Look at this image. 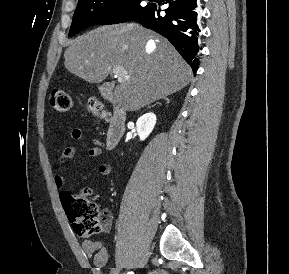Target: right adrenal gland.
<instances>
[{
	"instance_id": "1",
	"label": "right adrenal gland",
	"mask_w": 289,
	"mask_h": 274,
	"mask_svg": "<svg viewBox=\"0 0 289 274\" xmlns=\"http://www.w3.org/2000/svg\"><path fill=\"white\" fill-rule=\"evenodd\" d=\"M167 100V102H169V99L168 98H165Z\"/></svg>"
}]
</instances>
